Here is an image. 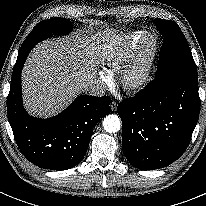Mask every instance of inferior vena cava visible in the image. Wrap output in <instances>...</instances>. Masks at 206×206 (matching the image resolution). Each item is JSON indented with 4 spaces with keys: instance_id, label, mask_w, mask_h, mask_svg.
<instances>
[{
    "instance_id": "inferior-vena-cava-1",
    "label": "inferior vena cava",
    "mask_w": 206,
    "mask_h": 206,
    "mask_svg": "<svg viewBox=\"0 0 206 206\" xmlns=\"http://www.w3.org/2000/svg\"><path fill=\"white\" fill-rule=\"evenodd\" d=\"M89 95L101 97L105 95L107 91V86L104 82L95 80L86 89Z\"/></svg>"
}]
</instances>
